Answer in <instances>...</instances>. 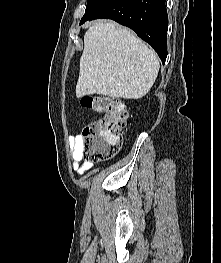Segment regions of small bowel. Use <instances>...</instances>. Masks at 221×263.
<instances>
[{
  "instance_id": "c3829d8e",
  "label": "small bowel",
  "mask_w": 221,
  "mask_h": 263,
  "mask_svg": "<svg viewBox=\"0 0 221 263\" xmlns=\"http://www.w3.org/2000/svg\"><path fill=\"white\" fill-rule=\"evenodd\" d=\"M83 140L82 135L70 136L69 147L74 160L73 168L78 174H83L93 166V161L85 160L83 157ZM80 162H82L80 164Z\"/></svg>"
}]
</instances>
